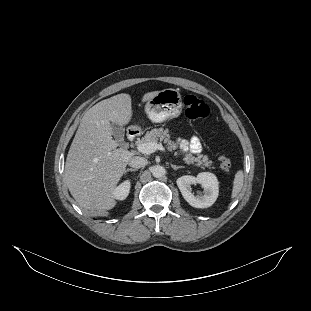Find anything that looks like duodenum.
Segmentation results:
<instances>
[{
  "mask_svg": "<svg viewBox=\"0 0 311 311\" xmlns=\"http://www.w3.org/2000/svg\"><path fill=\"white\" fill-rule=\"evenodd\" d=\"M139 135L140 130L135 126H132L127 130L126 139L129 142H133Z\"/></svg>",
  "mask_w": 311,
  "mask_h": 311,
  "instance_id": "duodenum-1",
  "label": "duodenum"
}]
</instances>
